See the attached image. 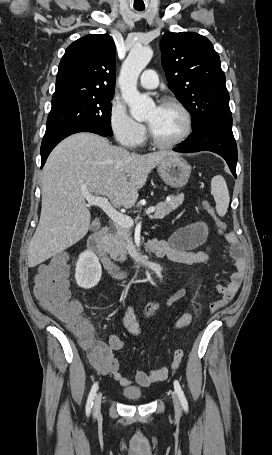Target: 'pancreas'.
I'll use <instances>...</instances> for the list:
<instances>
[{
    "mask_svg": "<svg viewBox=\"0 0 272 455\" xmlns=\"http://www.w3.org/2000/svg\"><path fill=\"white\" fill-rule=\"evenodd\" d=\"M184 197L182 195L170 196V201L160 202L155 207L152 219H163L173 210L182 204ZM131 229L120 225H114L109 234L106 252L112 259L119 262H124L127 259L128 243L131 240Z\"/></svg>",
    "mask_w": 272,
    "mask_h": 455,
    "instance_id": "1",
    "label": "pancreas"
}]
</instances>
